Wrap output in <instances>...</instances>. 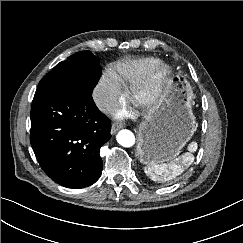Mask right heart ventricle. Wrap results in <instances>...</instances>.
<instances>
[{
  "mask_svg": "<svg viewBox=\"0 0 243 243\" xmlns=\"http://www.w3.org/2000/svg\"><path fill=\"white\" fill-rule=\"evenodd\" d=\"M159 61L153 56L125 58L109 65L107 74L122 89L131 88Z\"/></svg>",
  "mask_w": 243,
  "mask_h": 243,
  "instance_id": "obj_1",
  "label": "right heart ventricle"
}]
</instances>
